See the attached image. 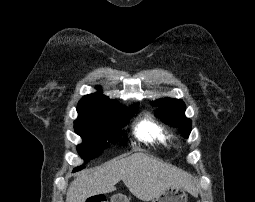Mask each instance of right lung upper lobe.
<instances>
[{
  "instance_id": "1",
  "label": "right lung upper lobe",
  "mask_w": 255,
  "mask_h": 202,
  "mask_svg": "<svg viewBox=\"0 0 255 202\" xmlns=\"http://www.w3.org/2000/svg\"><path fill=\"white\" fill-rule=\"evenodd\" d=\"M122 110L116 100L100 93L84 96L77 106L78 118H102Z\"/></svg>"
}]
</instances>
